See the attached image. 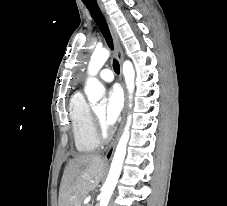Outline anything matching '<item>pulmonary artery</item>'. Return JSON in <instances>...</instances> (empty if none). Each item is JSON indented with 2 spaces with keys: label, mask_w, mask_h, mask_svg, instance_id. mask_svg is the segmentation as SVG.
Segmentation results:
<instances>
[{
  "label": "pulmonary artery",
  "mask_w": 227,
  "mask_h": 206,
  "mask_svg": "<svg viewBox=\"0 0 227 206\" xmlns=\"http://www.w3.org/2000/svg\"><path fill=\"white\" fill-rule=\"evenodd\" d=\"M99 78L104 82H111L114 79V74L110 69H103L99 73Z\"/></svg>",
  "instance_id": "pulmonary-artery-1"
}]
</instances>
